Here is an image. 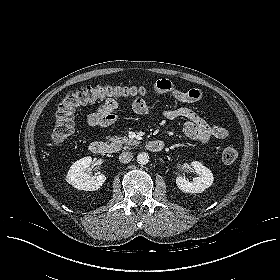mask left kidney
Masks as SVG:
<instances>
[{
	"label": "left kidney",
	"mask_w": 280,
	"mask_h": 280,
	"mask_svg": "<svg viewBox=\"0 0 280 280\" xmlns=\"http://www.w3.org/2000/svg\"><path fill=\"white\" fill-rule=\"evenodd\" d=\"M191 166L194 168L198 176L194 177L192 181H189L182 176H178L176 178V184L183 192L201 193L213 184V174L210 169L198 161H193Z\"/></svg>",
	"instance_id": "obj_1"
}]
</instances>
